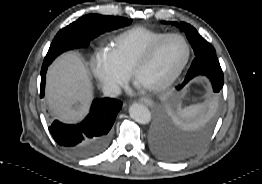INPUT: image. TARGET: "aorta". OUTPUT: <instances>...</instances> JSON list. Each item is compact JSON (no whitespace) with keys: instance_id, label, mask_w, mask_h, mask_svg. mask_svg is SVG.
<instances>
[{"instance_id":"obj_1","label":"aorta","mask_w":262,"mask_h":184,"mask_svg":"<svg viewBox=\"0 0 262 184\" xmlns=\"http://www.w3.org/2000/svg\"><path fill=\"white\" fill-rule=\"evenodd\" d=\"M130 117L140 123V124H148L151 119V113L149 109L141 104V103H133L129 107Z\"/></svg>"}]
</instances>
